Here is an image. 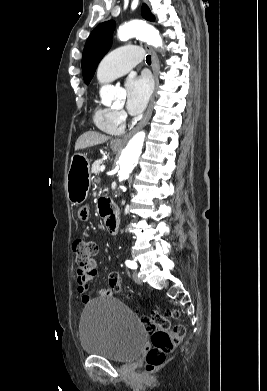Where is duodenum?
<instances>
[{
    "label": "duodenum",
    "instance_id": "duodenum-1",
    "mask_svg": "<svg viewBox=\"0 0 267 391\" xmlns=\"http://www.w3.org/2000/svg\"><path fill=\"white\" fill-rule=\"evenodd\" d=\"M100 212L104 218V224L107 231L111 234H116L119 228V219L110 211L106 202L100 203Z\"/></svg>",
    "mask_w": 267,
    "mask_h": 391
}]
</instances>
